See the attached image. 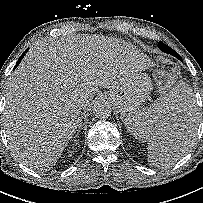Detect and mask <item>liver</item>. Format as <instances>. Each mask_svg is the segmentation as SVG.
<instances>
[{
  "label": "liver",
  "instance_id": "liver-1",
  "mask_svg": "<svg viewBox=\"0 0 203 203\" xmlns=\"http://www.w3.org/2000/svg\"><path fill=\"white\" fill-rule=\"evenodd\" d=\"M131 43L104 36L43 38L25 55L6 84L4 126L17 159L37 171L51 169L100 88L112 92L148 68ZM160 137L183 140L186 129L166 120Z\"/></svg>",
  "mask_w": 203,
  "mask_h": 203
}]
</instances>
